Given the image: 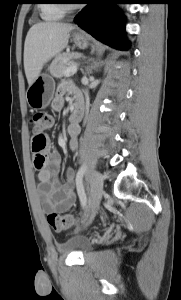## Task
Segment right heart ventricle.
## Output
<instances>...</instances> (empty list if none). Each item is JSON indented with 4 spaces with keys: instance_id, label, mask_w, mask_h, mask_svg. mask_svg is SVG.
<instances>
[{
    "instance_id": "1",
    "label": "right heart ventricle",
    "mask_w": 181,
    "mask_h": 300,
    "mask_svg": "<svg viewBox=\"0 0 181 300\" xmlns=\"http://www.w3.org/2000/svg\"><path fill=\"white\" fill-rule=\"evenodd\" d=\"M43 2L44 3L39 6L40 16L43 20L55 22L64 16L65 11L56 3L57 0H43Z\"/></svg>"
}]
</instances>
